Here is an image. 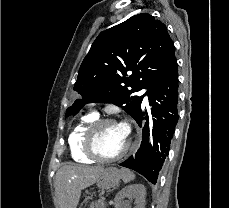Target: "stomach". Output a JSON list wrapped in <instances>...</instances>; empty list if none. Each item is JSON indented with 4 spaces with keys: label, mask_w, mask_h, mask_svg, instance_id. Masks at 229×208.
Segmentation results:
<instances>
[{
    "label": "stomach",
    "mask_w": 229,
    "mask_h": 208,
    "mask_svg": "<svg viewBox=\"0 0 229 208\" xmlns=\"http://www.w3.org/2000/svg\"><path fill=\"white\" fill-rule=\"evenodd\" d=\"M119 180H121V174L117 168H105L96 182L100 190H109V188L117 186Z\"/></svg>",
    "instance_id": "0dacf381"
}]
</instances>
